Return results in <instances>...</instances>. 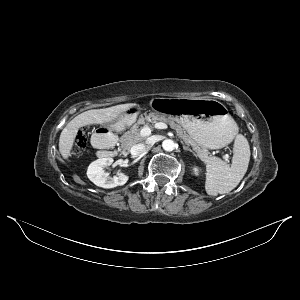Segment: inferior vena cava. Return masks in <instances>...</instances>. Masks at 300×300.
Segmentation results:
<instances>
[{
  "instance_id": "inferior-vena-cava-1",
  "label": "inferior vena cava",
  "mask_w": 300,
  "mask_h": 300,
  "mask_svg": "<svg viewBox=\"0 0 300 300\" xmlns=\"http://www.w3.org/2000/svg\"><path fill=\"white\" fill-rule=\"evenodd\" d=\"M149 147L148 143H139L131 148V155L138 156L143 154Z\"/></svg>"
}]
</instances>
